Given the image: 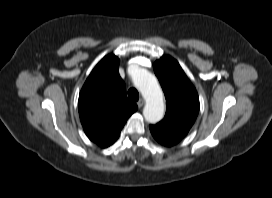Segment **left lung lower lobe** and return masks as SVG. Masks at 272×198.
Here are the masks:
<instances>
[{"label":"left lung lower lobe","instance_id":"left-lung-lower-lobe-1","mask_svg":"<svg viewBox=\"0 0 272 198\" xmlns=\"http://www.w3.org/2000/svg\"><path fill=\"white\" fill-rule=\"evenodd\" d=\"M150 131L153 137L162 145L172 146L178 143L183 137L167 131L157 125H150Z\"/></svg>","mask_w":272,"mask_h":198}]
</instances>
